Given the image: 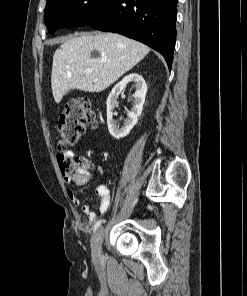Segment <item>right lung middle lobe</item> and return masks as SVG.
I'll use <instances>...</instances> for the list:
<instances>
[{
    "label": "right lung middle lobe",
    "instance_id": "right-lung-middle-lobe-1",
    "mask_svg": "<svg viewBox=\"0 0 247 296\" xmlns=\"http://www.w3.org/2000/svg\"><path fill=\"white\" fill-rule=\"evenodd\" d=\"M106 0H48L44 20L49 33L61 27H78L88 24L100 14Z\"/></svg>",
    "mask_w": 247,
    "mask_h": 296
}]
</instances>
